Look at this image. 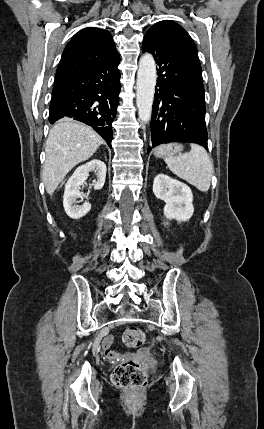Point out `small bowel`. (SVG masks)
Wrapping results in <instances>:
<instances>
[{
    "label": "small bowel",
    "instance_id": "small-bowel-1",
    "mask_svg": "<svg viewBox=\"0 0 264 429\" xmlns=\"http://www.w3.org/2000/svg\"><path fill=\"white\" fill-rule=\"evenodd\" d=\"M112 344H113V337H112V336H107V337L103 340V349L105 350V354H106V356H107L108 358H110V359H117V358H119L120 356H119V354H118L116 351H113V350L111 349ZM143 355H144V352H143V351H141V352H139V353L137 354V356H143ZM132 356H133V354H124V355L122 356V358L127 359V358H130V357H132Z\"/></svg>",
    "mask_w": 264,
    "mask_h": 429
}]
</instances>
